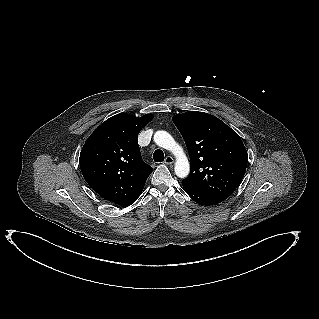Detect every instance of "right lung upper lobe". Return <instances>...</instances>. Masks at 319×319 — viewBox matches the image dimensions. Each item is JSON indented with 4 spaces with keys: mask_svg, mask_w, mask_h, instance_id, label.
Instances as JSON below:
<instances>
[{
    "mask_svg": "<svg viewBox=\"0 0 319 319\" xmlns=\"http://www.w3.org/2000/svg\"><path fill=\"white\" fill-rule=\"evenodd\" d=\"M153 118L120 113L103 122L80 153V169L101 197L122 205L142 192L153 168L142 160L137 137Z\"/></svg>",
    "mask_w": 319,
    "mask_h": 319,
    "instance_id": "1",
    "label": "right lung upper lobe"
}]
</instances>
